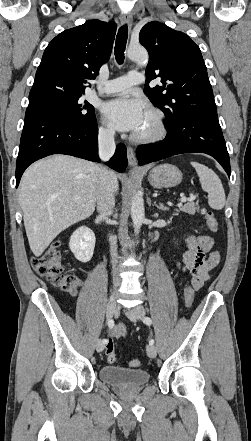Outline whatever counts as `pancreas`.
Listing matches in <instances>:
<instances>
[{
  "label": "pancreas",
  "instance_id": "1",
  "mask_svg": "<svg viewBox=\"0 0 251 441\" xmlns=\"http://www.w3.org/2000/svg\"><path fill=\"white\" fill-rule=\"evenodd\" d=\"M179 209H180V211L194 215L196 210H199V206H198V203L188 202V203L184 204L183 206L179 207Z\"/></svg>",
  "mask_w": 251,
  "mask_h": 441
}]
</instances>
